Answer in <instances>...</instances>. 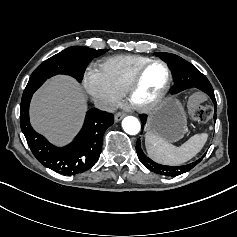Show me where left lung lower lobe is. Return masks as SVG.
Listing matches in <instances>:
<instances>
[{"instance_id":"left-lung-lower-lobe-1","label":"left lung lower lobe","mask_w":237,"mask_h":237,"mask_svg":"<svg viewBox=\"0 0 237 237\" xmlns=\"http://www.w3.org/2000/svg\"><path fill=\"white\" fill-rule=\"evenodd\" d=\"M207 94L211 97V99H212V101H213V103H214V105H215L214 121H216L217 103H216V99H215V97H214V91H213V90H209V91L207 92ZM140 116H142V115H140Z\"/></svg>"}]
</instances>
